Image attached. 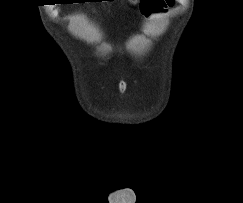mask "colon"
Returning <instances> with one entry per match:
<instances>
[{
    "mask_svg": "<svg viewBox=\"0 0 243 203\" xmlns=\"http://www.w3.org/2000/svg\"><path fill=\"white\" fill-rule=\"evenodd\" d=\"M174 3L175 0H141L140 8L144 16L158 17L172 7Z\"/></svg>",
    "mask_w": 243,
    "mask_h": 203,
    "instance_id": "5ec220e1",
    "label": "colon"
}]
</instances>
